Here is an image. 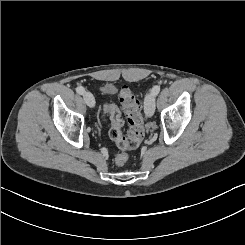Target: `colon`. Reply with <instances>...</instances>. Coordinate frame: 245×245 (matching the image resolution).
<instances>
[{"instance_id": "obj_1", "label": "colon", "mask_w": 245, "mask_h": 245, "mask_svg": "<svg viewBox=\"0 0 245 245\" xmlns=\"http://www.w3.org/2000/svg\"><path fill=\"white\" fill-rule=\"evenodd\" d=\"M119 100L129 124L127 136L122 133L123 120L119 109L115 105L109 104L105 106V113L111 122L109 136L121 150V153L116 156L115 162L118 166H124L128 161L126 151L137 148L144 138V120L141 105L131 88L126 85L122 86L119 91Z\"/></svg>"}]
</instances>
